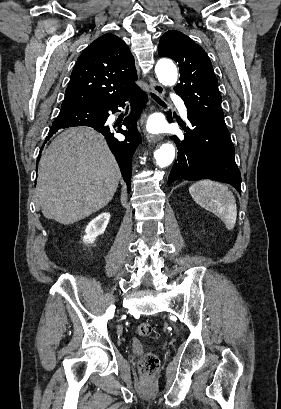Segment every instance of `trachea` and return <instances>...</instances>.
Listing matches in <instances>:
<instances>
[{
  "mask_svg": "<svg viewBox=\"0 0 281 409\" xmlns=\"http://www.w3.org/2000/svg\"><path fill=\"white\" fill-rule=\"evenodd\" d=\"M150 94H151L152 98H154L158 103H160L162 105H165V103L158 96H156L155 94H152V93H150Z\"/></svg>",
  "mask_w": 281,
  "mask_h": 409,
  "instance_id": "trachea-1",
  "label": "trachea"
}]
</instances>
